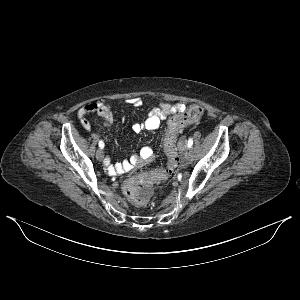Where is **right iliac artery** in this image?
Wrapping results in <instances>:
<instances>
[{
	"mask_svg": "<svg viewBox=\"0 0 300 300\" xmlns=\"http://www.w3.org/2000/svg\"><path fill=\"white\" fill-rule=\"evenodd\" d=\"M99 147H100L101 149L104 148V142H103V141H99Z\"/></svg>",
	"mask_w": 300,
	"mask_h": 300,
	"instance_id": "obj_1",
	"label": "right iliac artery"
}]
</instances>
